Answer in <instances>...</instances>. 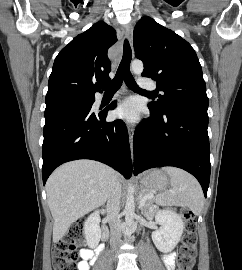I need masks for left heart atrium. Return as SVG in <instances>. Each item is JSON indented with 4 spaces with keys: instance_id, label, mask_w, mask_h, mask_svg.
Returning a JSON list of instances; mask_svg holds the SVG:
<instances>
[{
    "instance_id": "obj_1",
    "label": "left heart atrium",
    "mask_w": 242,
    "mask_h": 270,
    "mask_svg": "<svg viewBox=\"0 0 242 270\" xmlns=\"http://www.w3.org/2000/svg\"><path fill=\"white\" fill-rule=\"evenodd\" d=\"M140 114V106L137 100L129 98L123 101L115 109V116L128 122H135L138 120Z\"/></svg>"
}]
</instances>
